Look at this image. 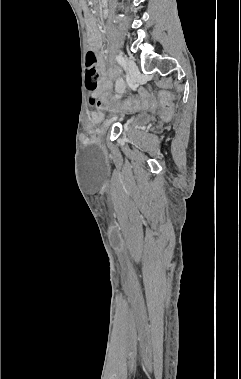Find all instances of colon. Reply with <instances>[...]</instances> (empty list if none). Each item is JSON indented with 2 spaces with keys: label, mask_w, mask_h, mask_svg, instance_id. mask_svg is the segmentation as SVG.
I'll return each instance as SVG.
<instances>
[{
  "label": "colon",
  "mask_w": 241,
  "mask_h": 379,
  "mask_svg": "<svg viewBox=\"0 0 241 379\" xmlns=\"http://www.w3.org/2000/svg\"><path fill=\"white\" fill-rule=\"evenodd\" d=\"M99 76L96 56L92 51H89L86 55V86H90L91 83L98 85ZM113 94L114 89L112 87H106L101 91L104 102H109V96ZM121 104L126 105L127 109H145L147 106L158 107L165 116H170L172 110L175 109V104L169 103L167 98H156L155 95H150L148 90H143L139 98H122Z\"/></svg>",
  "instance_id": "1"
}]
</instances>
